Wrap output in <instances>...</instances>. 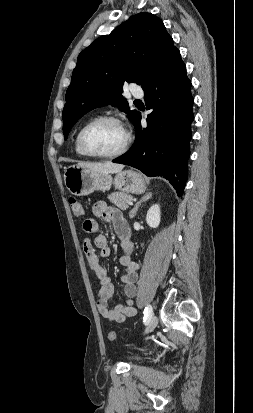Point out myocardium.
I'll return each mask as SVG.
<instances>
[{"mask_svg":"<svg viewBox=\"0 0 253 413\" xmlns=\"http://www.w3.org/2000/svg\"><path fill=\"white\" fill-rule=\"evenodd\" d=\"M102 122H111L114 123L116 125H118L125 134V140L123 145L121 146L120 149H118L115 152L112 153H95L93 151H91L87 145H86V141H85V136L87 131L94 125L98 124V123H102ZM132 142V136L130 134V132L128 131V129L126 128V126L124 125V123L117 117L115 116H111V115H102V116H98L95 117L93 119H91L90 121H88L79 131L78 134V145L80 150L89 157H95V158H115V157H119L123 154H125L128 149L130 148Z\"/></svg>","mask_w":253,"mask_h":413,"instance_id":"f54148a6","label":"myocardium"}]
</instances>
